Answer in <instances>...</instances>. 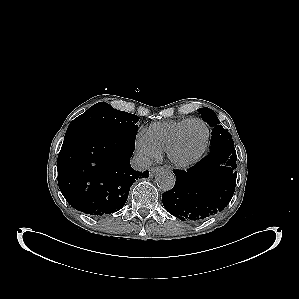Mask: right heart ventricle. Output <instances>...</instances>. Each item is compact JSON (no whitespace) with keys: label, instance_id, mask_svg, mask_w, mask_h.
<instances>
[{"label":"right heart ventricle","instance_id":"1","mask_svg":"<svg viewBox=\"0 0 299 299\" xmlns=\"http://www.w3.org/2000/svg\"><path fill=\"white\" fill-rule=\"evenodd\" d=\"M189 119L156 122L151 124L142 134L147 143L159 154L164 152L176 132Z\"/></svg>","mask_w":299,"mask_h":299}]
</instances>
